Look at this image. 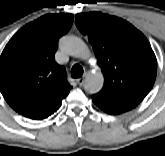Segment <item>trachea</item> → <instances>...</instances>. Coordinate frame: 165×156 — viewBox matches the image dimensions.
<instances>
[{
  "label": "trachea",
  "mask_w": 165,
  "mask_h": 156,
  "mask_svg": "<svg viewBox=\"0 0 165 156\" xmlns=\"http://www.w3.org/2000/svg\"><path fill=\"white\" fill-rule=\"evenodd\" d=\"M82 74H83V68L80 65L75 64L71 69V76L73 78H80Z\"/></svg>",
  "instance_id": "obj_1"
}]
</instances>
